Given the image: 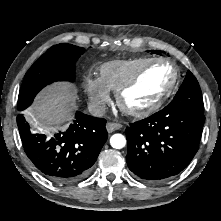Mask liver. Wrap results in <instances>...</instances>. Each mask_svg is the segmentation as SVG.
<instances>
[{"mask_svg":"<svg viewBox=\"0 0 221 221\" xmlns=\"http://www.w3.org/2000/svg\"><path fill=\"white\" fill-rule=\"evenodd\" d=\"M76 90L57 83L40 93L34 105L26 111L28 121L40 130L58 129L72 119L76 107Z\"/></svg>","mask_w":221,"mask_h":221,"instance_id":"obj_1","label":"liver"}]
</instances>
